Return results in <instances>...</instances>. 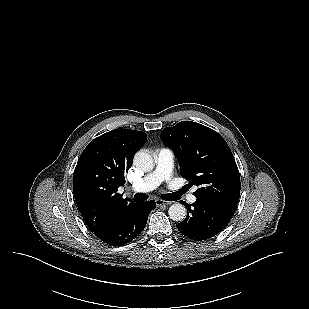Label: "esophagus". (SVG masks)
<instances>
[{"mask_svg": "<svg viewBox=\"0 0 309 309\" xmlns=\"http://www.w3.org/2000/svg\"><path fill=\"white\" fill-rule=\"evenodd\" d=\"M156 205L159 207V206H168V205H171L172 202H169V201H164V200H161V199H157L156 201Z\"/></svg>", "mask_w": 309, "mask_h": 309, "instance_id": "obj_1", "label": "esophagus"}]
</instances>
